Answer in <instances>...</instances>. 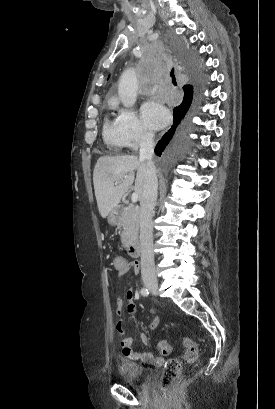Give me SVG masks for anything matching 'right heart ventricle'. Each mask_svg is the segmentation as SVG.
I'll list each match as a JSON object with an SVG mask.
<instances>
[{"label": "right heart ventricle", "mask_w": 275, "mask_h": 409, "mask_svg": "<svg viewBox=\"0 0 275 409\" xmlns=\"http://www.w3.org/2000/svg\"><path fill=\"white\" fill-rule=\"evenodd\" d=\"M104 141L112 153L117 154L123 151L124 141L120 128L116 121L106 120L103 127Z\"/></svg>", "instance_id": "e07e8e85"}]
</instances>
